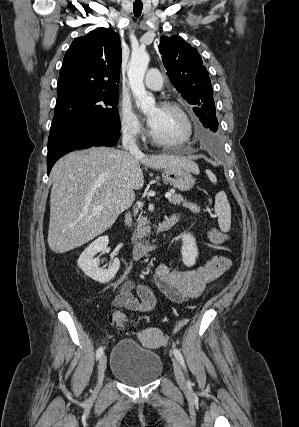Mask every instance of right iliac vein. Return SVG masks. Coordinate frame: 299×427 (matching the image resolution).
<instances>
[{"label":"right iliac vein","mask_w":299,"mask_h":427,"mask_svg":"<svg viewBox=\"0 0 299 427\" xmlns=\"http://www.w3.org/2000/svg\"><path fill=\"white\" fill-rule=\"evenodd\" d=\"M106 364H107V358L105 355L100 357L99 360V364H98V376H97V389H100L103 379H104V374H105V370H106Z\"/></svg>","instance_id":"63e3f726"}]
</instances>
